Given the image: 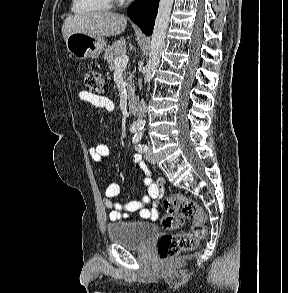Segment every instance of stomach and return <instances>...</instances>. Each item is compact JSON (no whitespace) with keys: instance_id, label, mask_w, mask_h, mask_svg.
<instances>
[{"instance_id":"0dacf381","label":"stomach","mask_w":288,"mask_h":293,"mask_svg":"<svg viewBox=\"0 0 288 293\" xmlns=\"http://www.w3.org/2000/svg\"><path fill=\"white\" fill-rule=\"evenodd\" d=\"M103 37L92 36L81 32H72L66 40L67 51L78 59H96L105 49Z\"/></svg>"}]
</instances>
